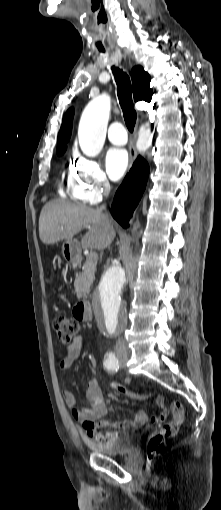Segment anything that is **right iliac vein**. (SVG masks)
<instances>
[{
    "label": "right iliac vein",
    "mask_w": 221,
    "mask_h": 510,
    "mask_svg": "<svg viewBox=\"0 0 221 510\" xmlns=\"http://www.w3.org/2000/svg\"><path fill=\"white\" fill-rule=\"evenodd\" d=\"M123 357H124V355H122L120 358H123Z\"/></svg>",
    "instance_id": "obj_1"
}]
</instances>
